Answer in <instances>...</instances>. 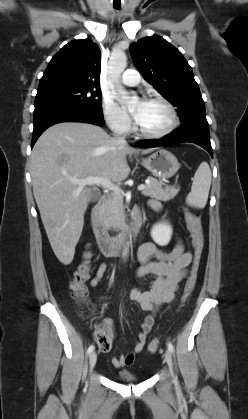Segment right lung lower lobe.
I'll return each instance as SVG.
<instances>
[{
    "label": "right lung lower lobe",
    "instance_id": "98d812e1",
    "mask_svg": "<svg viewBox=\"0 0 248 419\" xmlns=\"http://www.w3.org/2000/svg\"><path fill=\"white\" fill-rule=\"evenodd\" d=\"M60 122H84L98 126L105 124L103 115H97L82 106L55 104L38 107L35 108L33 115L34 130L31 147L48 127Z\"/></svg>",
    "mask_w": 248,
    "mask_h": 419
}]
</instances>
